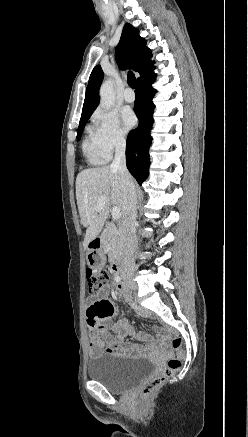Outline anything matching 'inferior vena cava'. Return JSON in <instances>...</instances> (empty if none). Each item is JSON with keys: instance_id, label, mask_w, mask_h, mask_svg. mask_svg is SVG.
Segmentation results:
<instances>
[{"instance_id": "1", "label": "inferior vena cava", "mask_w": 248, "mask_h": 437, "mask_svg": "<svg viewBox=\"0 0 248 437\" xmlns=\"http://www.w3.org/2000/svg\"><path fill=\"white\" fill-rule=\"evenodd\" d=\"M126 141L124 138L117 140L115 158L110 166L118 172L119 182L124 192V215L122 220L123 264L125 267H133V254L137 246L135 225L137 218V195L133 178L126 167L125 160Z\"/></svg>"}]
</instances>
